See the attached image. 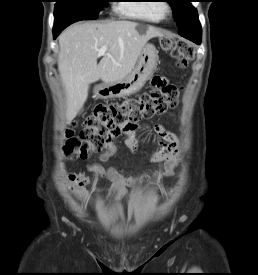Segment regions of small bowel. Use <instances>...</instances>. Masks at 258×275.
I'll return each instance as SVG.
<instances>
[{"label": "small bowel", "mask_w": 258, "mask_h": 275, "mask_svg": "<svg viewBox=\"0 0 258 275\" xmlns=\"http://www.w3.org/2000/svg\"><path fill=\"white\" fill-rule=\"evenodd\" d=\"M155 131L161 137L162 142L160 143V148L158 151L152 156V160L155 162L164 161L165 168L162 172H156L154 174V182L149 183L150 186L156 184L161 180L162 177L171 176L176 167L175 158L178 156L180 152L179 140L178 137L166 130L162 125H156ZM135 130L122 132L126 139L125 144L128 148H130L133 152H137L139 149V142L134 136ZM117 152V147L113 142V139L106 142L104 146V150L100 155L101 161L108 160L109 157L114 155ZM90 170L95 171L101 177H108L113 181V186L110 189L109 197L112 199H120L127 196V187L129 185H138L143 183L148 176H136V177H125L116 172V170L112 167L103 168L99 165H92ZM82 199L84 202H89L91 196L87 192H82ZM102 202H96L97 206H101Z\"/></svg>", "instance_id": "obj_1"}]
</instances>
